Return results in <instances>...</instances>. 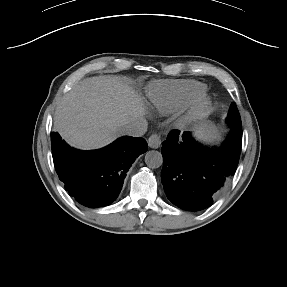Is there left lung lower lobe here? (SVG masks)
I'll return each mask as SVG.
<instances>
[{
    "label": "left lung lower lobe",
    "mask_w": 287,
    "mask_h": 287,
    "mask_svg": "<svg viewBox=\"0 0 287 287\" xmlns=\"http://www.w3.org/2000/svg\"><path fill=\"white\" fill-rule=\"evenodd\" d=\"M218 149L198 145L189 132L173 130L162 143L165 155L161 180L167 198L176 206L198 211L213 203L234 175L241 151V122Z\"/></svg>",
    "instance_id": "0a47b994"
}]
</instances>
